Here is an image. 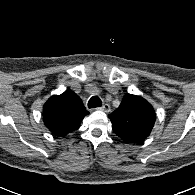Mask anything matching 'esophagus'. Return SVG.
<instances>
[{
  "mask_svg": "<svg viewBox=\"0 0 195 195\" xmlns=\"http://www.w3.org/2000/svg\"><path fill=\"white\" fill-rule=\"evenodd\" d=\"M96 109L104 111V112H109L110 111V105L109 104H103L101 107H98Z\"/></svg>",
  "mask_w": 195,
  "mask_h": 195,
  "instance_id": "obj_1",
  "label": "esophagus"
}]
</instances>
